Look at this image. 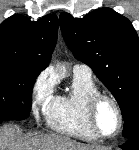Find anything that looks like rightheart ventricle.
Listing matches in <instances>:
<instances>
[{
  "instance_id": "e07e8e85",
  "label": "right heart ventricle",
  "mask_w": 139,
  "mask_h": 150,
  "mask_svg": "<svg viewBox=\"0 0 139 150\" xmlns=\"http://www.w3.org/2000/svg\"><path fill=\"white\" fill-rule=\"evenodd\" d=\"M99 93L91 77L74 75L71 89L64 94L52 97L44 109L47 125L62 134L98 140L87 120L89 99Z\"/></svg>"
}]
</instances>
